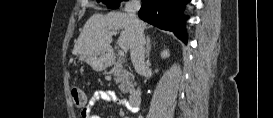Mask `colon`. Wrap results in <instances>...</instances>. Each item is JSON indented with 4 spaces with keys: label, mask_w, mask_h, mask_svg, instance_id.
<instances>
[{
    "label": "colon",
    "mask_w": 273,
    "mask_h": 118,
    "mask_svg": "<svg viewBox=\"0 0 273 118\" xmlns=\"http://www.w3.org/2000/svg\"><path fill=\"white\" fill-rule=\"evenodd\" d=\"M72 99L76 107L83 108L87 103V98L82 89L74 87L71 91Z\"/></svg>",
    "instance_id": "obj_1"
}]
</instances>
